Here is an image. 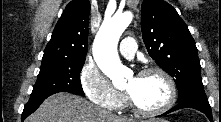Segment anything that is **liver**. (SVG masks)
<instances>
[{
  "mask_svg": "<svg viewBox=\"0 0 221 122\" xmlns=\"http://www.w3.org/2000/svg\"><path fill=\"white\" fill-rule=\"evenodd\" d=\"M25 122H135L106 112L70 93L48 97Z\"/></svg>",
  "mask_w": 221,
  "mask_h": 122,
  "instance_id": "6515ba94",
  "label": "liver"
}]
</instances>
